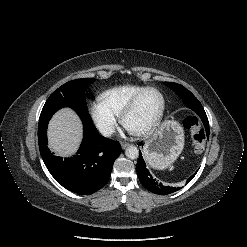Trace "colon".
<instances>
[{
	"instance_id": "5ec220e1",
	"label": "colon",
	"mask_w": 247,
	"mask_h": 247,
	"mask_svg": "<svg viewBox=\"0 0 247 247\" xmlns=\"http://www.w3.org/2000/svg\"><path fill=\"white\" fill-rule=\"evenodd\" d=\"M183 124L190 132L195 151L202 152L205 148L206 133L201 127L199 118L195 115H188L184 118Z\"/></svg>"
}]
</instances>
